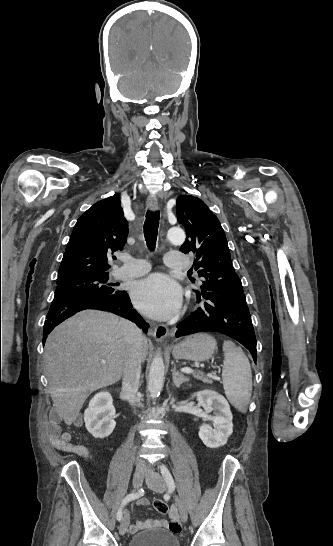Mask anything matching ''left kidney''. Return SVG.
I'll use <instances>...</instances> for the list:
<instances>
[{
  "label": "left kidney",
  "instance_id": "left-kidney-1",
  "mask_svg": "<svg viewBox=\"0 0 333 546\" xmlns=\"http://www.w3.org/2000/svg\"><path fill=\"white\" fill-rule=\"evenodd\" d=\"M199 404L204 408L205 419L212 421L214 429L209 424H203L199 428V437L209 448H218L227 443L232 434V413L227 400L214 390H202L193 394ZM213 412V416L208 413Z\"/></svg>",
  "mask_w": 333,
  "mask_h": 546
}]
</instances>
